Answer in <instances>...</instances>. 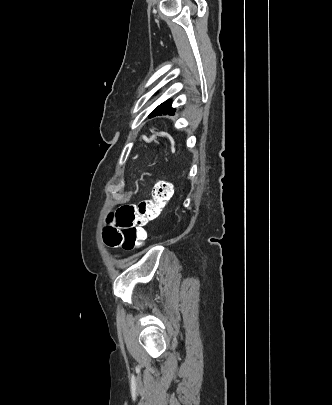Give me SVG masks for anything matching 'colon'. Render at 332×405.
<instances>
[{"label": "colon", "mask_w": 332, "mask_h": 405, "mask_svg": "<svg viewBox=\"0 0 332 405\" xmlns=\"http://www.w3.org/2000/svg\"><path fill=\"white\" fill-rule=\"evenodd\" d=\"M172 191L169 182L159 180L153 187L151 199L124 206L119 214L113 213L111 220L119 221L120 227H106V234L101 236L106 249H121L122 246L125 250H133L142 247L147 241L146 225L158 218Z\"/></svg>", "instance_id": "obj_1"}]
</instances>
